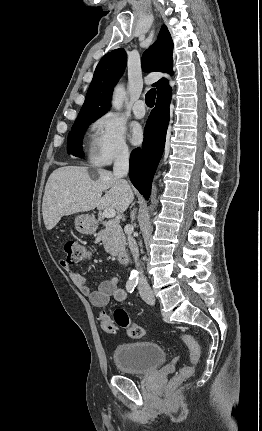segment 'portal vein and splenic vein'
Returning <instances> with one entry per match:
<instances>
[{
    "mask_svg": "<svg viewBox=\"0 0 262 431\" xmlns=\"http://www.w3.org/2000/svg\"><path fill=\"white\" fill-rule=\"evenodd\" d=\"M103 215H104V217H106V218L113 219V218L115 217V215H116V212H115V210H114V209H112V208H108V209H105V210L103 211Z\"/></svg>",
    "mask_w": 262,
    "mask_h": 431,
    "instance_id": "portal-vein-and-splenic-vein-1",
    "label": "portal vein and splenic vein"
}]
</instances>
